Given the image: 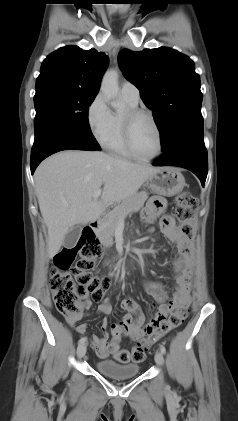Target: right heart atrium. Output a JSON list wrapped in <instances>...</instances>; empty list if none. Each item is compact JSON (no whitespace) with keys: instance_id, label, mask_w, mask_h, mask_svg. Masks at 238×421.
Here are the masks:
<instances>
[{"instance_id":"1","label":"right heart atrium","mask_w":238,"mask_h":421,"mask_svg":"<svg viewBox=\"0 0 238 421\" xmlns=\"http://www.w3.org/2000/svg\"><path fill=\"white\" fill-rule=\"evenodd\" d=\"M87 122L94 137L103 143L112 128V112L101 93L97 94L88 106Z\"/></svg>"}]
</instances>
